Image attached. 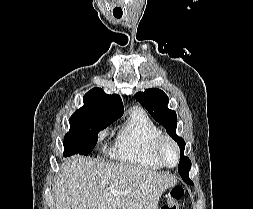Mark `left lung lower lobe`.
Instances as JSON below:
<instances>
[{"label":"left lung lower lobe","mask_w":253,"mask_h":209,"mask_svg":"<svg viewBox=\"0 0 253 209\" xmlns=\"http://www.w3.org/2000/svg\"><path fill=\"white\" fill-rule=\"evenodd\" d=\"M187 184H193V182H192V181H190V182H188Z\"/></svg>","instance_id":"1"}]
</instances>
